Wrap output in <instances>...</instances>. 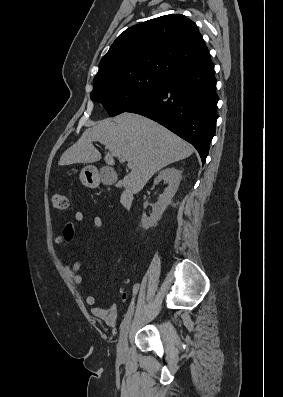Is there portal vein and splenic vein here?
Instances as JSON below:
<instances>
[{"label":"portal vein and splenic vein","mask_w":283,"mask_h":397,"mask_svg":"<svg viewBox=\"0 0 283 397\" xmlns=\"http://www.w3.org/2000/svg\"><path fill=\"white\" fill-rule=\"evenodd\" d=\"M119 160H120V162H122V163H124L125 161H127L126 159H124V158H121V157H119ZM127 166L129 167V166H130V164L128 163V164H127Z\"/></svg>","instance_id":"portal-vein-and-splenic-vein-1"}]
</instances>
